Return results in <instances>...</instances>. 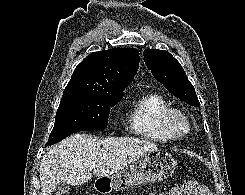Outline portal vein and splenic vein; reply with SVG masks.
<instances>
[{"label":"portal vein and splenic vein","instance_id":"portal-vein-and-splenic-vein-1","mask_svg":"<svg viewBox=\"0 0 245 195\" xmlns=\"http://www.w3.org/2000/svg\"><path fill=\"white\" fill-rule=\"evenodd\" d=\"M95 168V166L93 165V166H90V169H94Z\"/></svg>","mask_w":245,"mask_h":195}]
</instances>
